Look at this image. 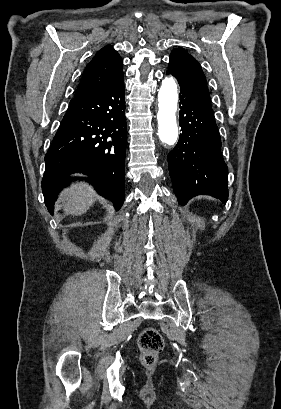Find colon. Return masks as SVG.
<instances>
[{
    "instance_id": "obj_1",
    "label": "colon",
    "mask_w": 281,
    "mask_h": 409,
    "mask_svg": "<svg viewBox=\"0 0 281 409\" xmlns=\"http://www.w3.org/2000/svg\"><path fill=\"white\" fill-rule=\"evenodd\" d=\"M138 347L141 351V362L151 367L157 362V356L164 348V339L158 330L146 327L139 335Z\"/></svg>"
}]
</instances>
